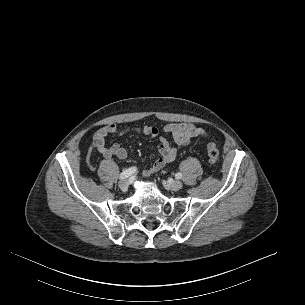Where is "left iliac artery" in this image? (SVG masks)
<instances>
[{
	"instance_id": "left-iliac-artery-1",
	"label": "left iliac artery",
	"mask_w": 305,
	"mask_h": 305,
	"mask_svg": "<svg viewBox=\"0 0 305 305\" xmlns=\"http://www.w3.org/2000/svg\"><path fill=\"white\" fill-rule=\"evenodd\" d=\"M175 177H176L177 179H181V178H182V174H181L180 172H178V173L175 175Z\"/></svg>"
}]
</instances>
